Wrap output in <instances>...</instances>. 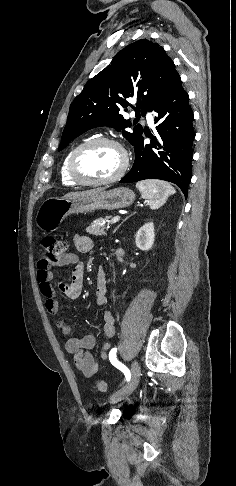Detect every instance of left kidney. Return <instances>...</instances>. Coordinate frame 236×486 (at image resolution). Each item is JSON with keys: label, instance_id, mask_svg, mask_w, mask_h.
I'll use <instances>...</instances> for the list:
<instances>
[{"label": "left kidney", "instance_id": "1", "mask_svg": "<svg viewBox=\"0 0 236 486\" xmlns=\"http://www.w3.org/2000/svg\"><path fill=\"white\" fill-rule=\"evenodd\" d=\"M154 239V224L152 222L146 223L136 233V246L143 251H148L152 248Z\"/></svg>", "mask_w": 236, "mask_h": 486}]
</instances>
